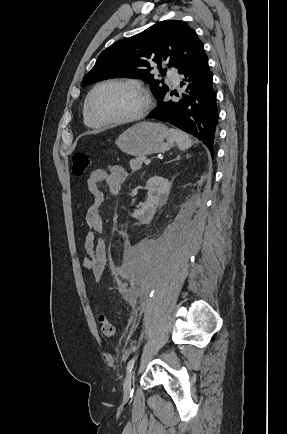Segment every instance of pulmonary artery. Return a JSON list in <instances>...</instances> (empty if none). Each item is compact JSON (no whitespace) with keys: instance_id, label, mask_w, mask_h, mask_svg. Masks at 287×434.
Returning <instances> with one entry per match:
<instances>
[{"instance_id":"obj_1","label":"pulmonary artery","mask_w":287,"mask_h":434,"mask_svg":"<svg viewBox=\"0 0 287 434\" xmlns=\"http://www.w3.org/2000/svg\"><path fill=\"white\" fill-rule=\"evenodd\" d=\"M167 75L173 85L177 86L179 84V75L174 70H169Z\"/></svg>"}]
</instances>
